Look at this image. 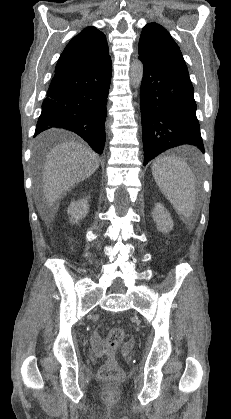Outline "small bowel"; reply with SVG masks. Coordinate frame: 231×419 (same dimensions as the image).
Instances as JSON below:
<instances>
[{"label": "small bowel", "instance_id": "1", "mask_svg": "<svg viewBox=\"0 0 231 419\" xmlns=\"http://www.w3.org/2000/svg\"><path fill=\"white\" fill-rule=\"evenodd\" d=\"M94 340L97 342V340H98V338H97V335L95 334L94 335Z\"/></svg>", "mask_w": 231, "mask_h": 419}]
</instances>
